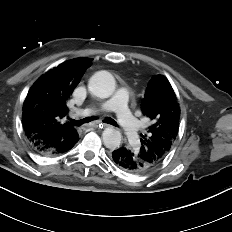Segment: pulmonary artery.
I'll return each instance as SVG.
<instances>
[{
	"label": "pulmonary artery",
	"instance_id": "pulmonary-artery-1",
	"mask_svg": "<svg viewBox=\"0 0 232 232\" xmlns=\"http://www.w3.org/2000/svg\"><path fill=\"white\" fill-rule=\"evenodd\" d=\"M130 98V93L126 88H119L115 94V96L103 103L100 107V111L109 112L115 111L119 124L124 130V133L134 147V149H138L139 147V134L138 128L139 124L132 115L129 107L128 101ZM95 110L88 109L81 112V114H89L94 112Z\"/></svg>",
	"mask_w": 232,
	"mask_h": 232
}]
</instances>
